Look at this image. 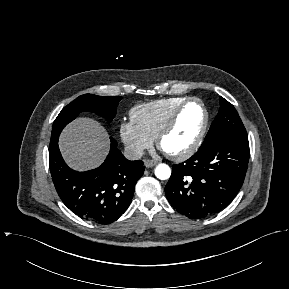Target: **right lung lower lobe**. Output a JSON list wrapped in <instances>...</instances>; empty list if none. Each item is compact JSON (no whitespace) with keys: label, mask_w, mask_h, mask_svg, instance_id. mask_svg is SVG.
<instances>
[{"label":"right lung lower lobe","mask_w":289,"mask_h":289,"mask_svg":"<svg viewBox=\"0 0 289 289\" xmlns=\"http://www.w3.org/2000/svg\"><path fill=\"white\" fill-rule=\"evenodd\" d=\"M110 139L111 148L104 163L86 172L66 165L58 140L49 147L50 171L59 197L79 217L99 224H109L125 212L145 169L141 160H127L117 142Z\"/></svg>","instance_id":"98d812e1"}]
</instances>
